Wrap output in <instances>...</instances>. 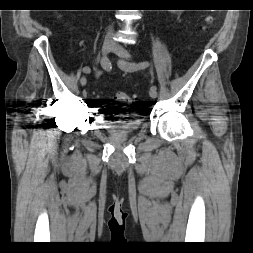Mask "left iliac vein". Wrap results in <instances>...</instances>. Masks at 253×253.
<instances>
[{
  "mask_svg": "<svg viewBox=\"0 0 253 253\" xmlns=\"http://www.w3.org/2000/svg\"><path fill=\"white\" fill-rule=\"evenodd\" d=\"M120 58H122L123 60H130L131 59V56L130 54L123 48L121 47L120 45L118 44H115L113 49H112ZM119 66L124 69V70H127L129 71L128 69H125L121 64H119ZM149 95L151 98H156L157 97V91L155 88H150L149 90Z\"/></svg>",
  "mask_w": 253,
  "mask_h": 253,
  "instance_id": "4c4485c4",
  "label": "left iliac vein"
}]
</instances>
